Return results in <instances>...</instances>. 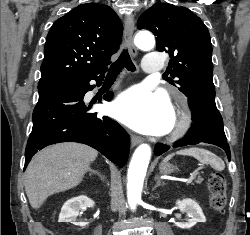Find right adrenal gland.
Segmentation results:
<instances>
[{"label":"right adrenal gland","mask_w":250,"mask_h":235,"mask_svg":"<svg viewBox=\"0 0 250 235\" xmlns=\"http://www.w3.org/2000/svg\"><path fill=\"white\" fill-rule=\"evenodd\" d=\"M89 174L90 175L97 174L101 178V180L104 181V176H102L97 170L90 169V173Z\"/></svg>","instance_id":"obj_1"}]
</instances>
